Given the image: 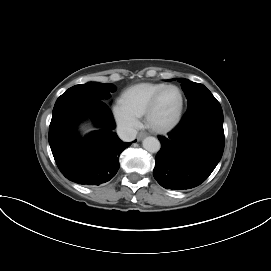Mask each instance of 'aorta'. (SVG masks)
Wrapping results in <instances>:
<instances>
[{
  "label": "aorta",
  "mask_w": 271,
  "mask_h": 271,
  "mask_svg": "<svg viewBox=\"0 0 271 271\" xmlns=\"http://www.w3.org/2000/svg\"><path fill=\"white\" fill-rule=\"evenodd\" d=\"M143 148L151 153H156L160 150L161 144L160 141L152 136L146 137L143 142Z\"/></svg>",
  "instance_id": "762f6f07"
}]
</instances>
